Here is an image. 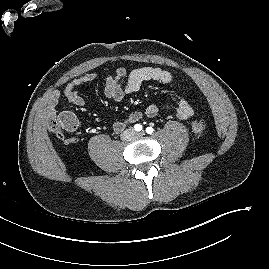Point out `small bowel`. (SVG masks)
<instances>
[{"label": "small bowel", "instance_id": "c3829d8e", "mask_svg": "<svg viewBox=\"0 0 269 269\" xmlns=\"http://www.w3.org/2000/svg\"><path fill=\"white\" fill-rule=\"evenodd\" d=\"M99 78L97 73H86L73 79L65 88L53 91L48 98L47 113L49 116H55L57 105L62 97L75 106L84 105L85 101L77 88L81 85L91 83ZM105 87L104 94L108 99L116 102L122 101L127 95L133 94L141 88L142 84L148 81H156L162 84H171L173 82L172 74L164 69L143 66L128 72L124 67H118L114 75L104 76ZM172 107L171 103L164 105L165 110ZM159 108L156 105H149L144 112L133 111L126 119L117 121L113 125L116 133L122 132L129 124L136 123L144 115L153 118L158 114ZM194 114L191 102L181 97L177 103L176 116L180 120H187Z\"/></svg>", "mask_w": 269, "mask_h": 269}]
</instances>
